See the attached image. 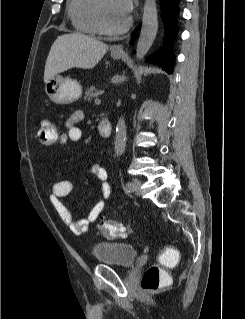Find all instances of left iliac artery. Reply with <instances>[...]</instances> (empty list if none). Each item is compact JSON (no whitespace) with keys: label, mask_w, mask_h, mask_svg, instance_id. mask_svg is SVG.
I'll return each instance as SVG.
<instances>
[{"label":"left iliac artery","mask_w":245,"mask_h":319,"mask_svg":"<svg viewBox=\"0 0 245 319\" xmlns=\"http://www.w3.org/2000/svg\"><path fill=\"white\" fill-rule=\"evenodd\" d=\"M132 183L131 182H128L127 184H126V186H125V189L128 191V192H130V191H132Z\"/></svg>","instance_id":"1"}]
</instances>
